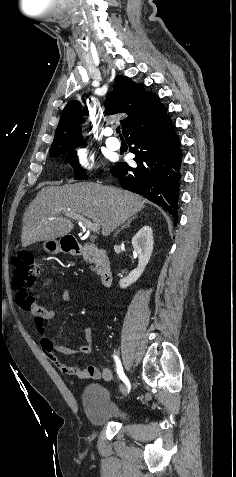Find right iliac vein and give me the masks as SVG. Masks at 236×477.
<instances>
[{"label":"right iliac vein","instance_id":"1","mask_svg":"<svg viewBox=\"0 0 236 477\" xmlns=\"http://www.w3.org/2000/svg\"><path fill=\"white\" fill-rule=\"evenodd\" d=\"M126 388L129 389L130 387H129V386L126 387V385H124V384L118 385L117 389H121V391H122V396H121V398H116V399H117V400H116L117 402H118L119 400L123 399L124 397H126L127 395L130 394L129 392H127V393L125 392V391H126ZM126 394H127V395H126Z\"/></svg>","mask_w":236,"mask_h":477}]
</instances>
